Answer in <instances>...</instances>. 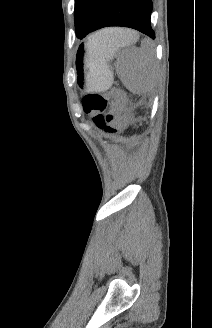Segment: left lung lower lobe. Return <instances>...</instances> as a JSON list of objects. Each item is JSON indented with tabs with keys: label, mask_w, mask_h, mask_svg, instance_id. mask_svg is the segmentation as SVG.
Wrapping results in <instances>:
<instances>
[{
	"label": "left lung lower lobe",
	"mask_w": 212,
	"mask_h": 328,
	"mask_svg": "<svg viewBox=\"0 0 212 328\" xmlns=\"http://www.w3.org/2000/svg\"><path fill=\"white\" fill-rule=\"evenodd\" d=\"M152 9L151 0H104L89 33L103 27L123 26L154 39L150 24Z\"/></svg>",
	"instance_id": "1"
}]
</instances>
